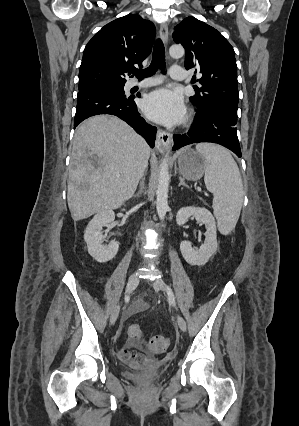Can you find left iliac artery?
I'll use <instances>...</instances> for the list:
<instances>
[{"label":"left iliac artery","mask_w":299,"mask_h":426,"mask_svg":"<svg viewBox=\"0 0 299 426\" xmlns=\"http://www.w3.org/2000/svg\"><path fill=\"white\" fill-rule=\"evenodd\" d=\"M167 293H168L170 302L176 307L175 297H174L172 289L169 286H167Z\"/></svg>","instance_id":"left-iliac-artery-1"}]
</instances>
